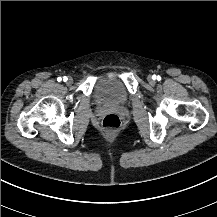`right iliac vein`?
<instances>
[{"label":"right iliac vein","instance_id":"1","mask_svg":"<svg viewBox=\"0 0 217 217\" xmlns=\"http://www.w3.org/2000/svg\"><path fill=\"white\" fill-rule=\"evenodd\" d=\"M66 82L68 85H71L73 84V79L71 77H68Z\"/></svg>","mask_w":217,"mask_h":217}]
</instances>
